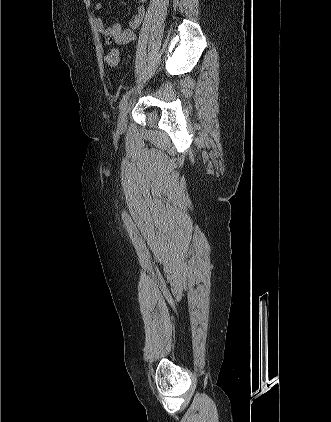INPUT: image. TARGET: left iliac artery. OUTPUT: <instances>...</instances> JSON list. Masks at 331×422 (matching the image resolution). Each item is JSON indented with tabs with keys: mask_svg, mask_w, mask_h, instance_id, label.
<instances>
[{
	"mask_svg": "<svg viewBox=\"0 0 331 422\" xmlns=\"http://www.w3.org/2000/svg\"><path fill=\"white\" fill-rule=\"evenodd\" d=\"M133 90H134V88L130 89L128 92H126V93L123 95V97H122V99H121V101H120V104H119V109H122V108H123L124 104H125V103H126V101L128 100V98H129V96L131 95V93L133 92Z\"/></svg>",
	"mask_w": 331,
	"mask_h": 422,
	"instance_id": "44dca946",
	"label": "left iliac artery"
}]
</instances>
